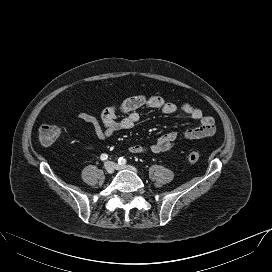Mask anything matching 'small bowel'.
<instances>
[{
    "instance_id": "1",
    "label": "small bowel",
    "mask_w": 272,
    "mask_h": 272,
    "mask_svg": "<svg viewBox=\"0 0 272 272\" xmlns=\"http://www.w3.org/2000/svg\"><path fill=\"white\" fill-rule=\"evenodd\" d=\"M145 107L159 109L165 114L181 112L188 115L197 124L183 132L171 131L163 134L150 144L131 145L128 148L131 153H163L170 151L179 139L197 140L209 137L215 133L216 127L213 118L205 115L201 109L187 102L177 105L160 96H133L119 105L105 108L100 118L86 112H80L77 117L94 128L97 138L105 140L118 131L134 128L140 120L139 109ZM120 115H124V117L118 119Z\"/></svg>"
}]
</instances>
